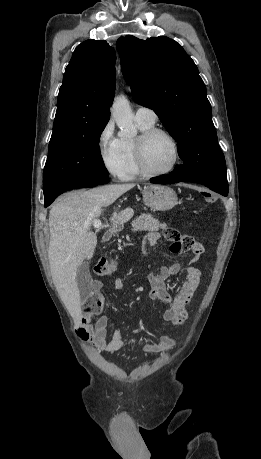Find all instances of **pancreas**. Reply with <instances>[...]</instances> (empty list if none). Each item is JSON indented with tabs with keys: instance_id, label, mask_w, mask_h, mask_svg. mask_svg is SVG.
<instances>
[{
	"instance_id": "cf45deb5",
	"label": "pancreas",
	"mask_w": 261,
	"mask_h": 459,
	"mask_svg": "<svg viewBox=\"0 0 261 459\" xmlns=\"http://www.w3.org/2000/svg\"><path fill=\"white\" fill-rule=\"evenodd\" d=\"M133 231H158L160 228H165L166 225L161 224L151 214H142L132 221Z\"/></svg>"
}]
</instances>
